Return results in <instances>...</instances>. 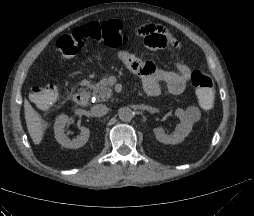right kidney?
<instances>
[{
  "label": "right kidney",
  "mask_w": 254,
  "mask_h": 216,
  "mask_svg": "<svg viewBox=\"0 0 254 216\" xmlns=\"http://www.w3.org/2000/svg\"><path fill=\"white\" fill-rule=\"evenodd\" d=\"M67 123H69V117L67 115L62 114L56 118L54 132L57 142L63 147L71 149H77L84 146L89 139L90 130L82 126L80 128V135H78L77 138L70 140L64 133Z\"/></svg>",
  "instance_id": "1"
}]
</instances>
